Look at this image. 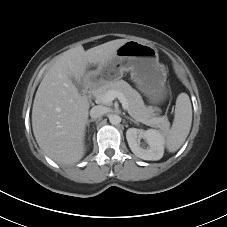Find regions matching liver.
I'll return each instance as SVG.
<instances>
[{"label":"liver","instance_id":"1","mask_svg":"<svg viewBox=\"0 0 227 227\" xmlns=\"http://www.w3.org/2000/svg\"><path fill=\"white\" fill-rule=\"evenodd\" d=\"M128 40L117 39L90 48L77 46L63 52L43 77L33 103L32 128L42 151L62 164H74L85 154V127L89 102L72 78L82 84L87 69L110 60Z\"/></svg>","mask_w":227,"mask_h":227}]
</instances>
